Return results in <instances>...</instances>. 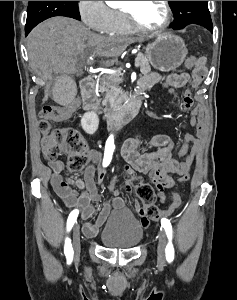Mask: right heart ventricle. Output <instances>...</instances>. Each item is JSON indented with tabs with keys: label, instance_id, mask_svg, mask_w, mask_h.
<instances>
[{
	"label": "right heart ventricle",
	"instance_id": "right-heart-ventricle-1",
	"mask_svg": "<svg viewBox=\"0 0 237 300\" xmlns=\"http://www.w3.org/2000/svg\"><path fill=\"white\" fill-rule=\"evenodd\" d=\"M134 32L121 10L114 11V31L115 34L126 35Z\"/></svg>",
	"mask_w": 237,
	"mask_h": 300
}]
</instances>
